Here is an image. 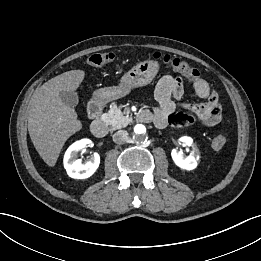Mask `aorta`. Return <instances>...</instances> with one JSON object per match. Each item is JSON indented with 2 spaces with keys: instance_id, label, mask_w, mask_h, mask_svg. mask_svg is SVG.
<instances>
[{
  "instance_id": "1",
  "label": "aorta",
  "mask_w": 261,
  "mask_h": 261,
  "mask_svg": "<svg viewBox=\"0 0 261 261\" xmlns=\"http://www.w3.org/2000/svg\"><path fill=\"white\" fill-rule=\"evenodd\" d=\"M134 137L137 140H142L146 136V127L144 125L138 124L133 129Z\"/></svg>"
}]
</instances>
